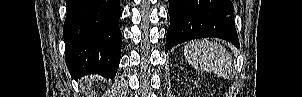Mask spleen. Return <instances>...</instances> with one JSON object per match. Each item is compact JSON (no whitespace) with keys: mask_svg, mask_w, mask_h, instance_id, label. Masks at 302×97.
<instances>
[{"mask_svg":"<svg viewBox=\"0 0 302 97\" xmlns=\"http://www.w3.org/2000/svg\"><path fill=\"white\" fill-rule=\"evenodd\" d=\"M184 56L195 69L215 73L230 79L234 73V63L224 46L207 39L190 41L184 46Z\"/></svg>","mask_w":302,"mask_h":97,"instance_id":"3e777b00","label":"spleen"}]
</instances>
